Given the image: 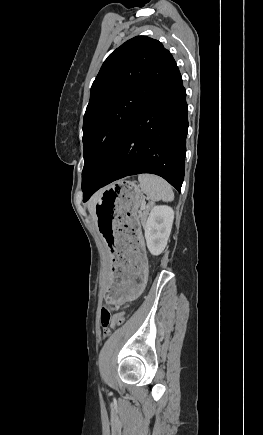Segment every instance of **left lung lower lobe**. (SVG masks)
<instances>
[{
    "label": "left lung lower lobe",
    "instance_id": "0a47b994",
    "mask_svg": "<svg viewBox=\"0 0 263 435\" xmlns=\"http://www.w3.org/2000/svg\"><path fill=\"white\" fill-rule=\"evenodd\" d=\"M187 113L186 91L178 70L128 126L107 165L84 193L83 201L115 180L140 173L159 175L180 191Z\"/></svg>",
    "mask_w": 263,
    "mask_h": 435
}]
</instances>
